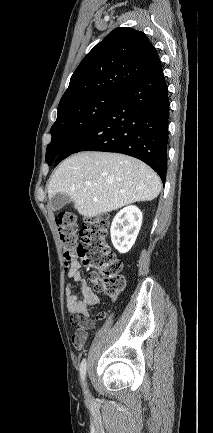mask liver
Segmentation results:
<instances>
[{"label":"liver","mask_w":213,"mask_h":433,"mask_svg":"<svg viewBox=\"0 0 213 433\" xmlns=\"http://www.w3.org/2000/svg\"><path fill=\"white\" fill-rule=\"evenodd\" d=\"M160 191L159 176L142 161L119 153L90 151L60 164L50 179L48 197L51 200L62 192L79 214L91 218L134 202L151 201Z\"/></svg>","instance_id":"1"}]
</instances>
